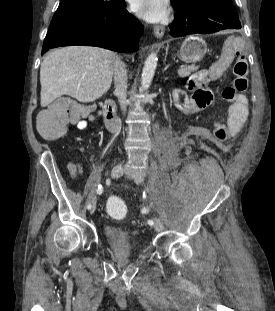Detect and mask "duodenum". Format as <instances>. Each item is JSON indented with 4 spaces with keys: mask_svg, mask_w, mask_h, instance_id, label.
Returning <instances> with one entry per match:
<instances>
[{
    "mask_svg": "<svg viewBox=\"0 0 275 311\" xmlns=\"http://www.w3.org/2000/svg\"><path fill=\"white\" fill-rule=\"evenodd\" d=\"M103 117L106 128L111 132H116L119 127L116 104L107 100L103 104Z\"/></svg>",
    "mask_w": 275,
    "mask_h": 311,
    "instance_id": "410a0bca",
    "label": "duodenum"
}]
</instances>
